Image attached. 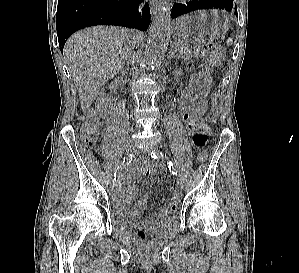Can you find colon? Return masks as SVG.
Wrapping results in <instances>:
<instances>
[{"label": "colon", "mask_w": 299, "mask_h": 273, "mask_svg": "<svg viewBox=\"0 0 299 273\" xmlns=\"http://www.w3.org/2000/svg\"><path fill=\"white\" fill-rule=\"evenodd\" d=\"M196 56L205 59V71L211 72L222 60L223 50L212 43L198 44L194 47ZM208 110L207 101L204 98H200L192 106L190 120L195 124L203 123V117ZM97 132V123L93 117H89L79 128V138L87 146H93L94 137ZM208 158L207 151H202L198 154L197 160L199 163H204ZM182 198L180 191L174 192L170 204L177 207ZM137 237L145 241L148 238V234L143 229H138L136 232Z\"/></svg>", "instance_id": "1"}]
</instances>
